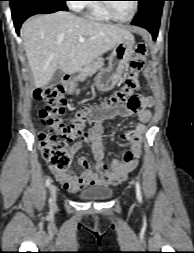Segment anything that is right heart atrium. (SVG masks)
I'll return each mask as SVG.
<instances>
[{"label":"right heart atrium","mask_w":194,"mask_h":253,"mask_svg":"<svg viewBox=\"0 0 194 253\" xmlns=\"http://www.w3.org/2000/svg\"><path fill=\"white\" fill-rule=\"evenodd\" d=\"M69 6L75 11L82 10L85 6L84 0H71Z\"/></svg>","instance_id":"obj_1"}]
</instances>
